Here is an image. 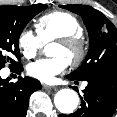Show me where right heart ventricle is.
Returning <instances> with one entry per match:
<instances>
[{"label": "right heart ventricle", "mask_w": 117, "mask_h": 117, "mask_svg": "<svg viewBox=\"0 0 117 117\" xmlns=\"http://www.w3.org/2000/svg\"><path fill=\"white\" fill-rule=\"evenodd\" d=\"M35 27L42 43L67 36L80 37L83 33L79 20L65 11H53L42 15L36 21Z\"/></svg>", "instance_id": "obj_1"}]
</instances>
